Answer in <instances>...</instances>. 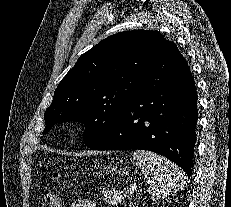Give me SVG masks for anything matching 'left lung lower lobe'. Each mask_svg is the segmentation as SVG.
<instances>
[{"mask_svg":"<svg viewBox=\"0 0 231 207\" xmlns=\"http://www.w3.org/2000/svg\"><path fill=\"white\" fill-rule=\"evenodd\" d=\"M143 92L94 150L142 149L165 156L190 177L196 141L197 92L175 44L147 73Z\"/></svg>","mask_w":231,"mask_h":207,"instance_id":"0a47b994","label":"left lung lower lobe"}]
</instances>
